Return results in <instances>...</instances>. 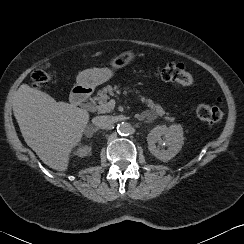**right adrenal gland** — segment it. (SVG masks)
<instances>
[{
	"mask_svg": "<svg viewBox=\"0 0 244 244\" xmlns=\"http://www.w3.org/2000/svg\"><path fill=\"white\" fill-rule=\"evenodd\" d=\"M97 131H98V128H93L92 129V133L97 132Z\"/></svg>",
	"mask_w": 244,
	"mask_h": 244,
	"instance_id": "1",
	"label": "right adrenal gland"
}]
</instances>
